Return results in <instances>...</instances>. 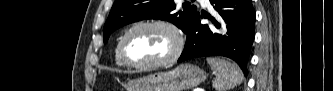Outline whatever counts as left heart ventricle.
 I'll use <instances>...</instances> for the list:
<instances>
[{"mask_svg":"<svg viewBox=\"0 0 333 91\" xmlns=\"http://www.w3.org/2000/svg\"><path fill=\"white\" fill-rule=\"evenodd\" d=\"M173 35L161 27H145L133 32L127 42L129 58L137 63H150L167 58L173 51Z\"/></svg>","mask_w":333,"mask_h":91,"instance_id":"1","label":"left heart ventricle"}]
</instances>
